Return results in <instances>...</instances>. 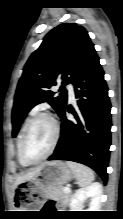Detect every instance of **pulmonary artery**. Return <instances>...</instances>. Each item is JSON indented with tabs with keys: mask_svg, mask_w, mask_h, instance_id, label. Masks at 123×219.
Returning <instances> with one entry per match:
<instances>
[{
	"mask_svg": "<svg viewBox=\"0 0 123 219\" xmlns=\"http://www.w3.org/2000/svg\"><path fill=\"white\" fill-rule=\"evenodd\" d=\"M67 88H68L69 99L74 100L75 99L74 86L72 84H68Z\"/></svg>",
	"mask_w": 123,
	"mask_h": 219,
	"instance_id": "1",
	"label": "pulmonary artery"
}]
</instances>
